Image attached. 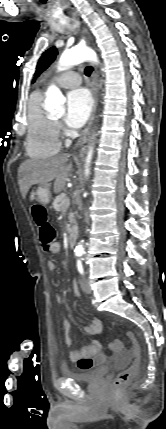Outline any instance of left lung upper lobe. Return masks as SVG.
I'll list each match as a JSON object with an SVG mask.
<instances>
[{"mask_svg":"<svg viewBox=\"0 0 166 429\" xmlns=\"http://www.w3.org/2000/svg\"><path fill=\"white\" fill-rule=\"evenodd\" d=\"M57 54L58 52L55 47L49 48L42 54L37 63L36 71L34 74L35 78H37L44 70L49 67V65L55 60Z\"/></svg>","mask_w":166,"mask_h":429,"instance_id":"1","label":"left lung upper lobe"}]
</instances>
